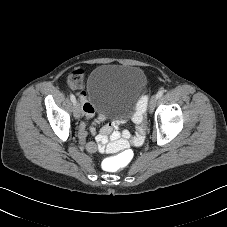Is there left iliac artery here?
<instances>
[{
	"instance_id": "obj_1",
	"label": "left iliac artery",
	"mask_w": 227,
	"mask_h": 227,
	"mask_svg": "<svg viewBox=\"0 0 227 227\" xmlns=\"http://www.w3.org/2000/svg\"><path fill=\"white\" fill-rule=\"evenodd\" d=\"M163 94H164V90H160V91L157 93V97L160 98Z\"/></svg>"
}]
</instances>
